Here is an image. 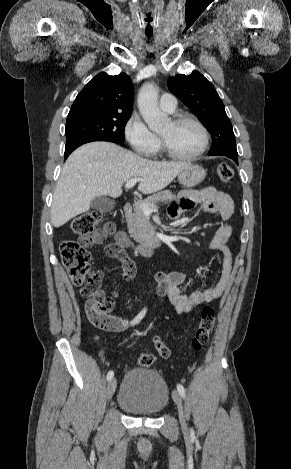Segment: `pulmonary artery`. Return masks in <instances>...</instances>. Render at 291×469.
Here are the masks:
<instances>
[{
  "mask_svg": "<svg viewBox=\"0 0 291 469\" xmlns=\"http://www.w3.org/2000/svg\"><path fill=\"white\" fill-rule=\"evenodd\" d=\"M159 106L162 110L173 113L177 108V100L172 94L165 93L159 100Z\"/></svg>",
  "mask_w": 291,
  "mask_h": 469,
  "instance_id": "e3ab8cb5",
  "label": "pulmonary artery"
}]
</instances>
